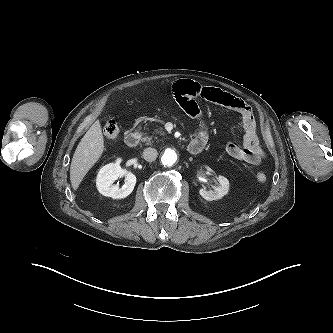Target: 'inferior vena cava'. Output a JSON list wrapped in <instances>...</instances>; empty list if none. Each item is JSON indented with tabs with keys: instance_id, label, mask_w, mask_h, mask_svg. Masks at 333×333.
<instances>
[{
	"instance_id": "inferior-vena-cava-1",
	"label": "inferior vena cava",
	"mask_w": 333,
	"mask_h": 333,
	"mask_svg": "<svg viewBox=\"0 0 333 333\" xmlns=\"http://www.w3.org/2000/svg\"><path fill=\"white\" fill-rule=\"evenodd\" d=\"M157 155H158L157 150L151 147L146 148L143 151V158L148 162L154 161L157 158Z\"/></svg>"
}]
</instances>
